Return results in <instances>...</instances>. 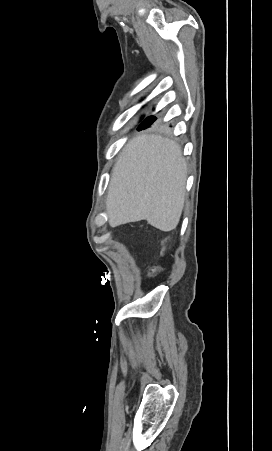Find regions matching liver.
Listing matches in <instances>:
<instances>
[{"instance_id":"6515ba94","label":"liver","mask_w":272,"mask_h":451,"mask_svg":"<svg viewBox=\"0 0 272 451\" xmlns=\"http://www.w3.org/2000/svg\"><path fill=\"white\" fill-rule=\"evenodd\" d=\"M187 164L180 146L157 134H141L123 148L108 188L109 226L147 220L161 231L177 226L185 202Z\"/></svg>"}]
</instances>
